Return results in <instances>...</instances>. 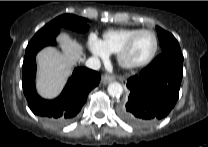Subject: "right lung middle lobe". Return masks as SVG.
I'll return each instance as SVG.
<instances>
[{"label": "right lung middle lobe", "instance_id": "right-lung-middle-lobe-1", "mask_svg": "<svg viewBox=\"0 0 208 147\" xmlns=\"http://www.w3.org/2000/svg\"><path fill=\"white\" fill-rule=\"evenodd\" d=\"M87 21L88 19L86 18L78 17L72 14L60 15L41 28L31 40L40 39L53 34L59 31L62 27L84 33L88 30Z\"/></svg>", "mask_w": 208, "mask_h": 147}]
</instances>
